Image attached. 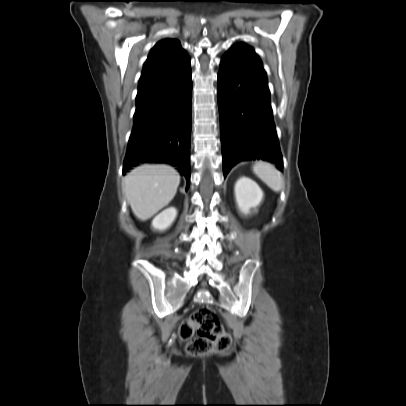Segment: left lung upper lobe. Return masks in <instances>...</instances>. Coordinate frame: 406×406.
<instances>
[{
    "instance_id": "5c2ea615",
    "label": "left lung upper lobe",
    "mask_w": 406,
    "mask_h": 406,
    "mask_svg": "<svg viewBox=\"0 0 406 406\" xmlns=\"http://www.w3.org/2000/svg\"><path fill=\"white\" fill-rule=\"evenodd\" d=\"M230 50L242 51V52L248 53L249 55L253 56L256 59H259L258 56L256 55L255 51L253 50V48L250 46H247L243 43H238V44L234 45Z\"/></svg>"
}]
</instances>
